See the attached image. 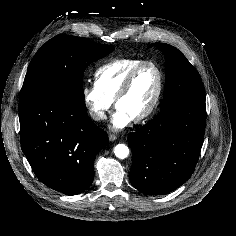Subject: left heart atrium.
I'll list each match as a JSON object with an SVG mask.
<instances>
[{"mask_svg": "<svg viewBox=\"0 0 236 236\" xmlns=\"http://www.w3.org/2000/svg\"><path fill=\"white\" fill-rule=\"evenodd\" d=\"M133 118L123 109L117 107L110 121V126L114 130H120L128 126Z\"/></svg>", "mask_w": 236, "mask_h": 236, "instance_id": "left-heart-atrium-1", "label": "left heart atrium"}]
</instances>
